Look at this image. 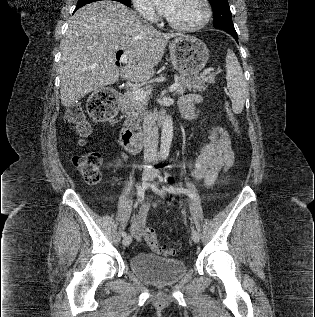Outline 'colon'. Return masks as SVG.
Listing matches in <instances>:
<instances>
[{
    "label": "colon",
    "instance_id": "5ec220e1",
    "mask_svg": "<svg viewBox=\"0 0 315 317\" xmlns=\"http://www.w3.org/2000/svg\"><path fill=\"white\" fill-rule=\"evenodd\" d=\"M117 108V95L112 89L99 90L88 101V113L97 121L111 119L116 114ZM226 112L235 131L240 134L239 122L228 104H226ZM65 120L74 128L81 139L89 135L90 126L80 106L69 107L65 113ZM101 164L102 158L98 152H89L74 158V165L89 184H97L100 181ZM142 238L156 253L163 255L175 254V250L159 243L155 231L150 227L144 228Z\"/></svg>",
    "mask_w": 315,
    "mask_h": 317
}]
</instances>
